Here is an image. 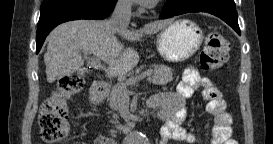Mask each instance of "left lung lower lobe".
<instances>
[{
  "label": "left lung lower lobe",
  "instance_id": "obj_1",
  "mask_svg": "<svg viewBox=\"0 0 273 144\" xmlns=\"http://www.w3.org/2000/svg\"><path fill=\"white\" fill-rule=\"evenodd\" d=\"M187 12H208L213 14L224 20L240 35L234 0H167L163 6L160 19Z\"/></svg>",
  "mask_w": 273,
  "mask_h": 144
}]
</instances>
